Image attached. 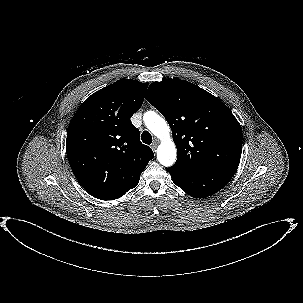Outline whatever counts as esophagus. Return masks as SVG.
Listing matches in <instances>:
<instances>
[{
    "label": "esophagus",
    "mask_w": 303,
    "mask_h": 303,
    "mask_svg": "<svg viewBox=\"0 0 303 303\" xmlns=\"http://www.w3.org/2000/svg\"><path fill=\"white\" fill-rule=\"evenodd\" d=\"M158 144H159V141H158V140H155V141L151 144V149H152L153 151H156Z\"/></svg>",
    "instance_id": "obj_1"
}]
</instances>
